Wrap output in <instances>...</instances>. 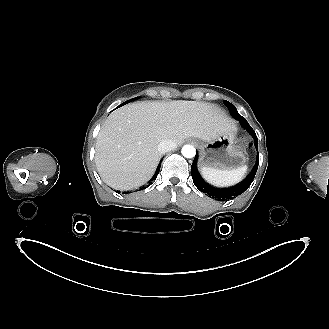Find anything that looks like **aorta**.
<instances>
[{"mask_svg":"<svg viewBox=\"0 0 329 329\" xmlns=\"http://www.w3.org/2000/svg\"><path fill=\"white\" fill-rule=\"evenodd\" d=\"M181 153L186 158H193L196 154V150L192 145H184L181 149Z\"/></svg>","mask_w":329,"mask_h":329,"instance_id":"aorta-1","label":"aorta"}]
</instances>
